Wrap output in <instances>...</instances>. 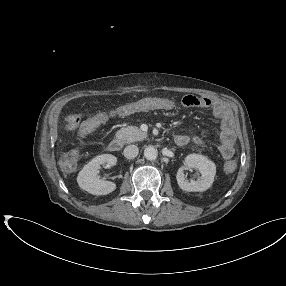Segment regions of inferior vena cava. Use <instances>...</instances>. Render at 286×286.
I'll return each instance as SVG.
<instances>
[{"mask_svg": "<svg viewBox=\"0 0 286 286\" xmlns=\"http://www.w3.org/2000/svg\"><path fill=\"white\" fill-rule=\"evenodd\" d=\"M139 153V149L136 145H128L124 149V156L127 159H133L135 158Z\"/></svg>", "mask_w": 286, "mask_h": 286, "instance_id": "inferior-vena-cava-1", "label": "inferior vena cava"}]
</instances>
